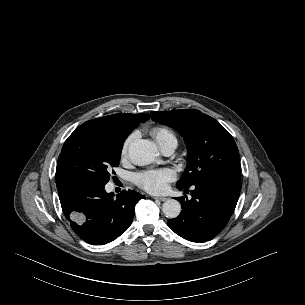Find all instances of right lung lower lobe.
Instances as JSON below:
<instances>
[{"label": "right lung lower lobe", "instance_id": "obj_1", "mask_svg": "<svg viewBox=\"0 0 305 305\" xmlns=\"http://www.w3.org/2000/svg\"><path fill=\"white\" fill-rule=\"evenodd\" d=\"M62 210L74 232L85 242L104 245L130 226L136 203L144 198L136 191H122L113 198L104 186L76 182L57 184Z\"/></svg>", "mask_w": 305, "mask_h": 305}]
</instances>
